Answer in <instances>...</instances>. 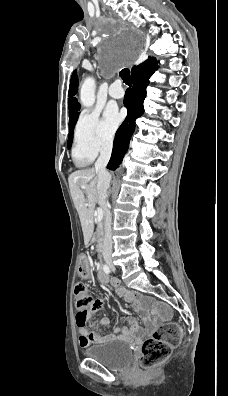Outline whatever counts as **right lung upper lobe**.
Wrapping results in <instances>:
<instances>
[{
    "mask_svg": "<svg viewBox=\"0 0 228 396\" xmlns=\"http://www.w3.org/2000/svg\"><path fill=\"white\" fill-rule=\"evenodd\" d=\"M137 66H134L131 70L136 68ZM78 91V77L76 74V71L72 74L71 81H70V88H69V114L74 113L80 109V105L77 101L76 98H73V96L77 93Z\"/></svg>",
    "mask_w": 228,
    "mask_h": 396,
    "instance_id": "obj_1",
    "label": "right lung upper lobe"
}]
</instances>
